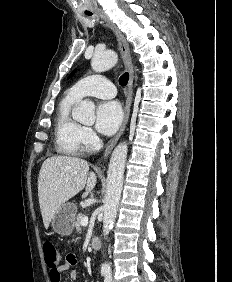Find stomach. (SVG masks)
Instances as JSON below:
<instances>
[{
  "mask_svg": "<svg viewBox=\"0 0 232 282\" xmlns=\"http://www.w3.org/2000/svg\"><path fill=\"white\" fill-rule=\"evenodd\" d=\"M77 207L73 203H67L57 209L51 219L53 230L60 236H69L73 232Z\"/></svg>",
  "mask_w": 232,
  "mask_h": 282,
  "instance_id": "0dacf381",
  "label": "stomach"
}]
</instances>
